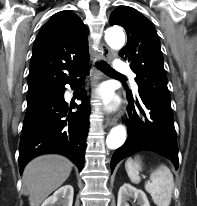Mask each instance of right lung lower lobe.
Listing matches in <instances>:
<instances>
[{
  "instance_id": "right-lung-lower-lobe-1",
  "label": "right lung lower lobe",
  "mask_w": 197,
  "mask_h": 206,
  "mask_svg": "<svg viewBox=\"0 0 197 206\" xmlns=\"http://www.w3.org/2000/svg\"><path fill=\"white\" fill-rule=\"evenodd\" d=\"M66 84L74 88L77 79ZM64 86L53 96L27 107L19 147L20 173L27 162L45 153L62 154L82 170L89 126V97L82 89L77 97L82 104H74L78 111L71 112L72 108L69 109L64 100Z\"/></svg>"
}]
</instances>
